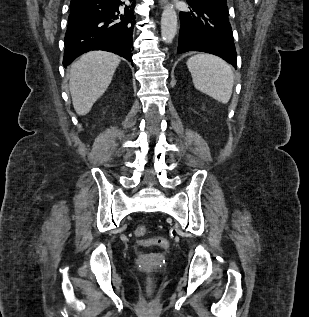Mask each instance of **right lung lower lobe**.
<instances>
[{
    "label": "right lung lower lobe",
    "mask_w": 309,
    "mask_h": 317,
    "mask_svg": "<svg viewBox=\"0 0 309 317\" xmlns=\"http://www.w3.org/2000/svg\"><path fill=\"white\" fill-rule=\"evenodd\" d=\"M135 4V0H71L63 66L90 50L113 52L133 64Z\"/></svg>",
    "instance_id": "98d812e1"
}]
</instances>
